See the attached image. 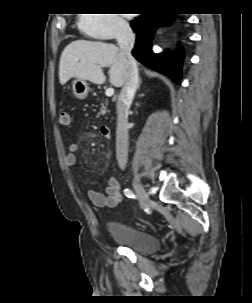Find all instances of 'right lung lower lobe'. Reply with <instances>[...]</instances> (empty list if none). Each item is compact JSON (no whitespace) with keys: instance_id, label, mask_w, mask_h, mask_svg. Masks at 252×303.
I'll return each mask as SVG.
<instances>
[{"instance_id":"right-lung-lower-lobe-1","label":"right lung lower lobe","mask_w":252,"mask_h":303,"mask_svg":"<svg viewBox=\"0 0 252 303\" xmlns=\"http://www.w3.org/2000/svg\"><path fill=\"white\" fill-rule=\"evenodd\" d=\"M174 18L175 14L170 13H146L134 19L131 27L137 38L132 54L147 67L179 82L184 57L183 49L180 48L175 53H164L161 56L155 55L151 50L156 29L161 25L170 24Z\"/></svg>"}]
</instances>
